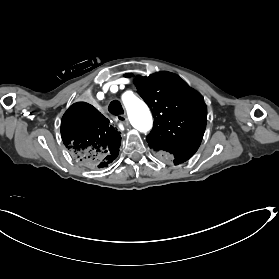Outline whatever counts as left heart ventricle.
<instances>
[{"instance_id": "b2bd125f", "label": "left heart ventricle", "mask_w": 279, "mask_h": 279, "mask_svg": "<svg viewBox=\"0 0 279 279\" xmlns=\"http://www.w3.org/2000/svg\"><path fill=\"white\" fill-rule=\"evenodd\" d=\"M102 75H107V70H104V72L102 73Z\"/></svg>"}]
</instances>
